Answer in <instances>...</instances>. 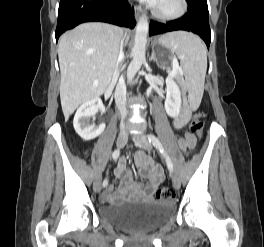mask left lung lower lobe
<instances>
[{"label":"left lung lower lobe","mask_w":264,"mask_h":247,"mask_svg":"<svg viewBox=\"0 0 264 247\" xmlns=\"http://www.w3.org/2000/svg\"><path fill=\"white\" fill-rule=\"evenodd\" d=\"M188 12L181 18L168 23L151 21L149 35L162 34L170 31L185 30L198 34L209 48L211 33L208 19L207 0H186Z\"/></svg>","instance_id":"left-lung-lower-lobe-1"}]
</instances>
